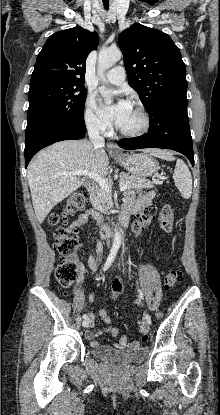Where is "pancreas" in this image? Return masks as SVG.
<instances>
[{"instance_id":"1","label":"pancreas","mask_w":220,"mask_h":415,"mask_svg":"<svg viewBox=\"0 0 220 415\" xmlns=\"http://www.w3.org/2000/svg\"><path fill=\"white\" fill-rule=\"evenodd\" d=\"M120 184H126L129 190H142L154 188V182L145 178L129 175L125 173L120 174ZM91 204L102 213H107L113 206V201L110 193L105 192L100 187H95L90 192Z\"/></svg>"}]
</instances>
